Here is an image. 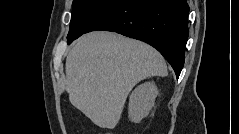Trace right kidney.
Wrapping results in <instances>:
<instances>
[{"mask_svg":"<svg viewBox=\"0 0 239 134\" xmlns=\"http://www.w3.org/2000/svg\"><path fill=\"white\" fill-rule=\"evenodd\" d=\"M158 89L153 82H146L134 89L129 98V118L134 123H139L145 118L154 106Z\"/></svg>","mask_w":239,"mask_h":134,"instance_id":"ca27d5eb","label":"right kidney"}]
</instances>
